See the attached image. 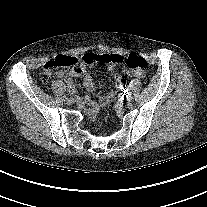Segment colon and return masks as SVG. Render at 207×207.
Returning a JSON list of instances; mask_svg holds the SVG:
<instances>
[{"label":"colon","instance_id":"obj_1","mask_svg":"<svg viewBox=\"0 0 207 207\" xmlns=\"http://www.w3.org/2000/svg\"><path fill=\"white\" fill-rule=\"evenodd\" d=\"M94 62H103L106 64H123L124 67L132 70L142 71L146 68V61L143 57L136 54H128L126 58L118 54H86L81 60L70 55H59L48 61L44 66L42 80L47 82L50 78V73L53 70L61 69L68 70V73H74L78 70L80 63L92 64Z\"/></svg>","mask_w":207,"mask_h":207}]
</instances>
